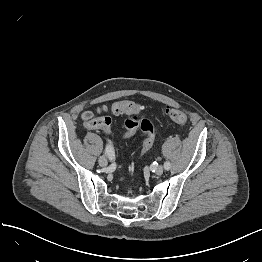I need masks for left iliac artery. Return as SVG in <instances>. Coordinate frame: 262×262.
Instances as JSON below:
<instances>
[{
    "label": "left iliac artery",
    "instance_id": "obj_1",
    "mask_svg": "<svg viewBox=\"0 0 262 262\" xmlns=\"http://www.w3.org/2000/svg\"><path fill=\"white\" fill-rule=\"evenodd\" d=\"M164 168H165L166 170H169V169L171 168V164H170L168 161H166V162L164 163Z\"/></svg>",
    "mask_w": 262,
    "mask_h": 262
}]
</instances>
